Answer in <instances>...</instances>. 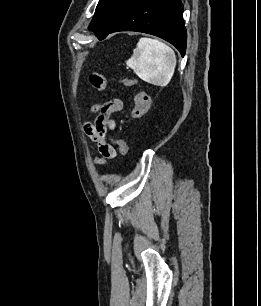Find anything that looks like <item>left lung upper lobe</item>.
Listing matches in <instances>:
<instances>
[{"mask_svg": "<svg viewBox=\"0 0 261 306\" xmlns=\"http://www.w3.org/2000/svg\"><path fill=\"white\" fill-rule=\"evenodd\" d=\"M133 0H99L89 29L97 37L108 33L119 21Z\"/></svg>", "mask_w": 261, "mask_h": 306, "instance_id": "1", "label": "left lung upper lobe"}]
</instances>
